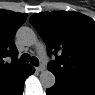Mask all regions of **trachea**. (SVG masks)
Wrapping results in <instances>:
<instances>
[{
	"instance_id": "1",
	"label": "trachea",
	"mask_w": 95,
	"mask_h": 95,
	"mask_svg": "<svg viewBox=\"0 0 95 95\" xmlns=\"http://www.w3.org/2000/svg\"><path fill=\"white\" fill-rule=\"evenodd\" d=\"M21 61H23V62H30L34 66H38L39 65L38 58L37 57H31L28 53H24L21 56Z\"/></svg>"
}]
</instances>
